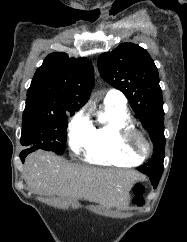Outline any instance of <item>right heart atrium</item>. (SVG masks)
<instances>
[{
  "mask_svg": "<svg viewBox=\"0 0 187 242\" xmlns=\"http://www.w3.org/2000/svg\"><path fill=\"white\" fill-rule=\"evenodd\" d=\"M90 121L83 112L77 113L68 126V142L73 152H79L89 140Z\"/></svg>",
  "mask_w": 187,
  "mask_h": 242,
  "instance_id": "obj_1",
  "label": "right heart atrium"
}]
</instances>
